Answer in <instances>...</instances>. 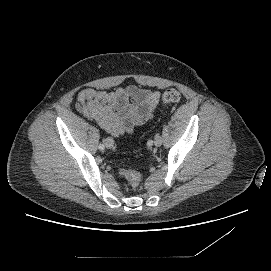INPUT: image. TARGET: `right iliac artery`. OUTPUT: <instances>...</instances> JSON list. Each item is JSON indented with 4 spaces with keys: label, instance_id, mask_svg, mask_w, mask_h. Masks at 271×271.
Here are the masks:
<instances>
[{
    "label": "right iliac artery",
    "instance_id": "obj_1",
    "mask_svg": "<svg viewBox=\"0 0 271 271\" xmlns=\"http://www.w3.org/2000/svg\"><path fill=\"white\" fill-rule=\"evenodd\" d=\"M98 147H99L100 150H104V144H99Z\"/></svg>",
    "mask_w": 271,
    "mask_h": 271
}]
</instances>
